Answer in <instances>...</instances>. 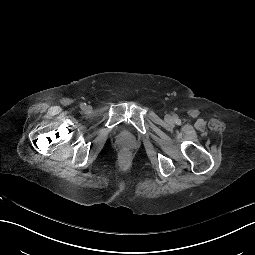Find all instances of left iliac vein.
Segmentation results:
<instances>
[{"instance_id":"4c4485c4","label":"left iliac vein","mask_w":255,"mask_h":255,"mask_svg":"<svg viewBox=\"0 0 255 255\" xmlns=\"http://www.w3.org/2000/svg\"><path fill=\"white\" fill-rule=\"evenodd\" d=\"M167 121L168 122H171L172 121V118L170 116L167 117Z\"/></svg>"}]
</instances>
